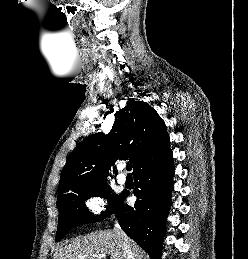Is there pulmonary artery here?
Here are the masks:
<instances>
[{"instance_id": "obj_1", "label": "pulmonary artery", "mask_w": 248, "mask_h": 259, "mask_svg": "<svg viewBox=\"0 0 248 259\" xmlns=\"http://www.w3.org/2000/svg\"><path fill=\"white\" fill-rule=\"evenodd\" d=\"M117 182H118L119 184H125V182H126V176H125L123 173H119V174L117 175Z\"/></svg>"}]
</instances>
